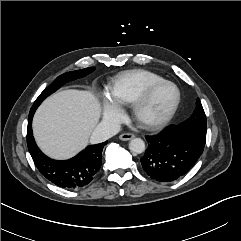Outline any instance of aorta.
Returning a JSON list of instances; mask_svg holds the SVG:
<instances>
[{"mask_svg": "<svg viewBox=\"0 0 241 241\" xmlns=\"http://www.w3.org/2000/svg\"><path fill=\"white\" fill-rule=\"evenodd\" d=\"M129 149L136 154L143 153L145 151V142L141 138H134L129 143Z\"/></svg>", "mask_w": 241, "mask_h": 241, "instance_id": "aorta-1", "label": "aorta"}]
</instances>
